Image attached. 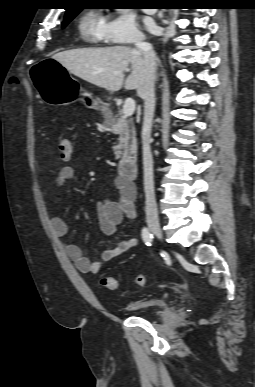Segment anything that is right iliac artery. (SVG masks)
<instances>
[{
    "instance_id": "right-iliac-artery-1",
    "label": "right iliac artery",
    "mask_w": 255,
    "mask_h": 387,
    "mask_svg": "<svg viewBox=\"0 0 255 387\" xmlns=\"http://www.w3.org/2000/svg\"><path fill=\"white\" fill-rule=\"evenodd\" d=\"M142 239L146 245L150 246L153 241V234L149 231L147 227L142 229Z\"/></svg>"
}]
</instances>
